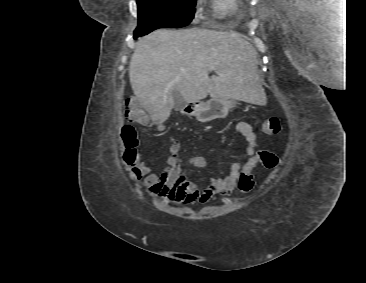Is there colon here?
<instances>
[{
	"label": "colon",
	"instance_id": "obj_1",
	"mask_svg": "<svg viewBox=\"0 0 366 283\" xmlns=\"http://www.w3.org/2000/svg\"><path fill=\"white\" fill-rule=\"evenodd\" d=\"M124 114L129 122L143 123L145 122L143 109L135 99H127L124 107ZM282 129L281 119L279 117H270L264 120L260 126V131L265 135H276ZM122 137L127 145V150L125 152V160L127 162L132 161L136 154L135 148L137 146L138 140L136 138L135 131L133 127L126 126L123 129ZM257 164H261L266 169H275L279 164V159L276 154L267 151H259L255 158L248 162L243 171L240 174L238 180V189L241 193H249L255 185L253 169Z\"/></svg>",
	"mask_w": 366,
	"mask_h": 283
}]
</instances>
